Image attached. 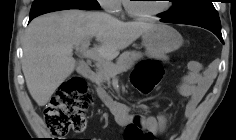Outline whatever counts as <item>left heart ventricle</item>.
I'll use <instances>...</instances> for the list:
<instances>
[{"label":"left heart ventricle","mask_w":236,"mask_h":140,"mask_svg":"<svg viewBox=\"0 0 236 140\" xmlns=\"http://www.w3.org/2000/svg\"><path fill=\"white\" fill-rule=\"evenodd\" d=\"M165 5L164 1L160 0H137L132 2V6L140 12L148 13L157 11L163 8Z\"/></svg>","instance_id":"b2bd125f"}]
</instances>
